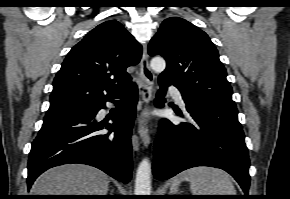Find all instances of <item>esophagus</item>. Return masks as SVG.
<instances>
[{"label": "esophagus", "instance_id": "obj_1", "mask_svg": "<svg viewBox=\"0 0 290 199\" xmlns=\"http://www.w3.org/2000/svg\"><path fill=\"white\" fill-rule=\"evenodd\" d=\"M155 80V75L152 72L147 54V46L143 45V53L140 61V82H139V92L142 96V101L147 105L153 96V84ZM138 134L145 147L150 144L149 129L143 118L139 120Z\"/></svg>", "mask_w": 290, "mask_h": 199}]
</instances>
